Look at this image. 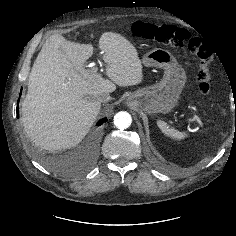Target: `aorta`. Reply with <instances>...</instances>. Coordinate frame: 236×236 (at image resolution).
<instances>
[{
	"label": "aorta",
	"instance_id": "aorta-1",
	"mask_svg": "<svg viewBox=\"0 0 236 236\" xmlns=\"http://www.w3.org/2000/svg\"><path fill=\"white\" fill-rule=\"evenodd\" d=\"M132 118L128 112L120 111L114 116V125L123 130L131 125Z\"/></svg>",
	"mask_w": 236,
	"mask_h": 236
}]
</instances>
